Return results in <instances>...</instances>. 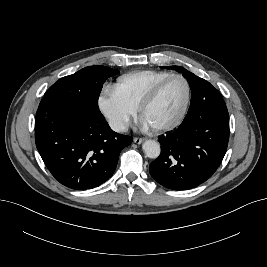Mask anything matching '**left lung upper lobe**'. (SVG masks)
Instances as JSON below:
<instances>
[{
    "mask_svg": "<svg viewBox=\"0 0 267 267\" xmlns=\"http://www.w3.org/2000/svg\"><path fill=\"white\" fill-rule=\"evenodd\" d=\"M163 68L174 69L178 72H181L182 75L187 79L192 90L190 108L192 104H195L197 101H202L205 99L209 102L213 112L222 113L227 111V107L220 92L216 88H214L209 82L180 66H167ZM190 108L188 110L187 115L189 114Z\"/></svg>",
    "mask_w": 267,
    "mask_h": 267,
    "instance_id": "obj_1",
    "label": "left lung upper lobe"
}]
</instances>
